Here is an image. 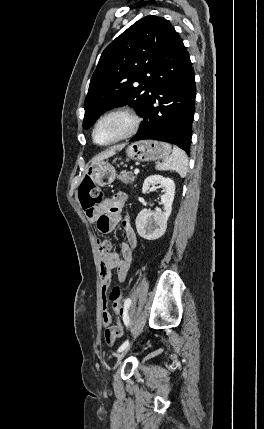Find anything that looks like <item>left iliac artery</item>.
Masks as SVG:
<instances>
[{
    "instance_id": "obj_1",
    "label": "left iliac artery",
    "mask_w": 264,
    "mask_h": 429,
    "mask_svg": "<svg viewBox=\"0 0 264 429\" xmlns=\"http://www.w3.org/2000/svg\"><path fill=\"white\" fill-rule=\"evenodd\" d=\"M125 314H124V316H123V321H124V324L128 327L129 326V324H130V319H129V316H128V313H127V311H128V308H129V306L131 305V300L130 299H127L126 301H125ZM129 345V341L128 340H126L125 342H123V344L118 348V352H122L124 349H126L127 348V346Z\"/></svg>"
}]
</instances>
